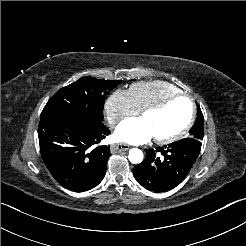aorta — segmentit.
Returning a JSON list of instances; mask_svg holds the SVG:
<instances>
[{"instance_id":"1","label":"aorta","mask_w":246,"mask_h":246,"mask_svg":"<svg viewBox=\"0 0 246 246\" xmlns=\"http://www.w3.org/2000/svg\"><path fill=\"white\" fill-rule=\"evenodd\" d=\"M128 159L132 164H139L143 161V152L138 148L129 151Z\"/></svg>"}]
</instances>
